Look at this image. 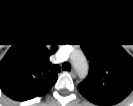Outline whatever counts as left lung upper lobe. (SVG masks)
<instances>
[{"label":"left lung upper lobe","mask_w":133,"mask_h":106,"mask_svg":"<svg viewBox=\"0 0 133 106\" xmlns=\"http://www.w3.org/2000/svg\"><path fill=\"white\" fill-rule=\"evenodd\" d=\"M89 74L78 85L80 93L97 105L121 102L133 90V58L119 45L95 39L82 46Z\"/></svg>","instance_id":"1"}]
</instances>
